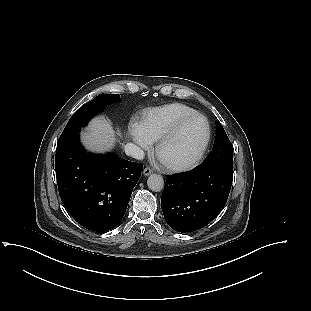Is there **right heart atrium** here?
I'll return each instance as SVG.
<instances>
[{
    "label": "right heart atrium",
    "instance_id": "1",
    "mask_svg": "<svg viewBox=\"0 0 311 311\" xmlns=\"http://www.w3.org/2000/svg\"><path fill=\"white\" fill-rule=\"evenodd\" d=\"M128 135L143 150L149 149L152 145V141L145 135L141 124L136 121L129 123Z\"/></svg>",
    "mask_w": 311,
    "mask_h": 311
}]
</instances>
